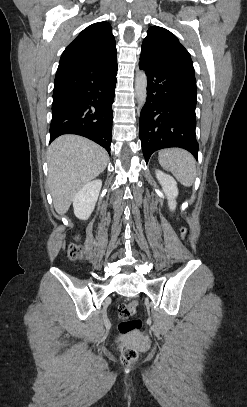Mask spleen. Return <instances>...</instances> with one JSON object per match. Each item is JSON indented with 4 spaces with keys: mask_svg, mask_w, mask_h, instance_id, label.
Here are the masks:
<instances>
[{
    "mask_svg": "<svg viewBox=\"0 0 247 407\" xmlns=\"http://www.w3.org/2000/svg\"><path fill=\"white\" fill-rule=\"evenodd\" d=\"M158 160L182 185H193L196 178V161L188 151L179 148L163 149L158 153Z\"/></svg>",
    "mask_w": 247,
    "mask_h": 407,
    "instance_id": "spleen-1",
    "label": "spleen"
}]
</instances>
